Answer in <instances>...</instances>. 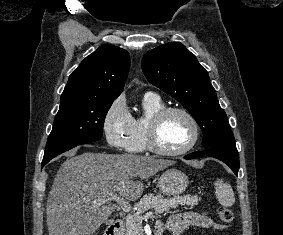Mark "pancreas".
<instances>
[{"mask_svg":"<svg viewBox=\"0 0 283 235\" xmlns=\"http://www.w3.org/2000/svg\"><path fill=\"white\" fill-rule=\"evenodd\" d=\"M200 198L189 194L184 196H175L174 198H164L161 195L146 194L136 204L137 213L126 217V233L125 235H143L141 214L149 209H154L156 214L169 212L170 209L179 205L195 206L198 205Z\"/></svg>","mask_w":283,"mask_h":235,"instance_id":"pancreas-1","label":"pancreas"}]
</instances>
